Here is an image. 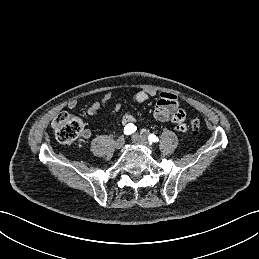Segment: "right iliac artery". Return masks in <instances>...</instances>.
<instances>
[{"label":"right iliac artery","mask_w":259,"mask_h":259,"mask_svg":"<svg viewBox=\"0 0 259 259\" xmlns=\"http://www.w3.org/2000/svg\"><path fill=\"white\" fill-rule=\"evenodd\" d=\"M136 129H137V127L134 124L129 123L124 127V134L130 135V134L134 133L136 131Z\"/></svg>","instance_id":"1"}]
</instances>
